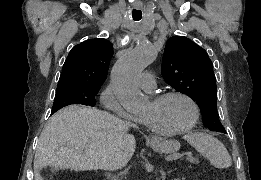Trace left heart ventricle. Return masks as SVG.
<instances>
[{"instance_id":"1","label":"left heart ventricle","mask_w":261,"mask_h":180,"mask_svg":"<svg viewBox=\"0 0 261 180\" xmlns=\"http://www.w3.org/2000/svg\"><path fill=\"white\" fill-rule=\"evenodd\" d=\"M191 115L189 103L178 96L158 102L148 97L144 109L135 114L136 118L157 136H168L182 131L190 121Z\"/></svg>"}]
</instances>
